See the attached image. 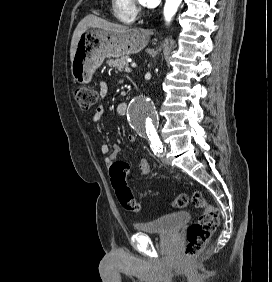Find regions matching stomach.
I'll return each instance as SVG.
<instances>
[{
  "label": "stomach",
  "instance_id": "1",
  "mask_svg": "<svg viewBox=\"0 0 272 282\" xmlns=\"http://www.w3.org/2000/svg\"><path fill=\"white\" fill-rule=\"evenodd\" d=\"M148 41L149 31L144 29L113 32L101 28H87L77 42L71 63L74 81L80 84L90 82L95 70L105 58L137 53Z\"/></svg>",
  "mask_w": 272,
  "mask_h": 282
}]
</instances>
